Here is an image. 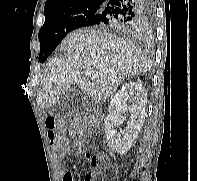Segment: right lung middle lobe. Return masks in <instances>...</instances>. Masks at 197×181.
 <instances>
[{"label": "right lung middle lobe", "mask_w": 197, "mask_h": 181, "mask_svg": "<svg viewBox=\"0 0 197 181\" xmlns=\"http://www.w3.org/2000/svg\"><path fill=\"white\" fill-rule=\"evenodd\" d=\"M103 9L100 5H84L67 11L45 17V23L39 30L40 62L59 45L62 39L71 31L83 26L90 17L99 14Z\"/></svg>", "instance_id": "obj_1"}]
</instances>
